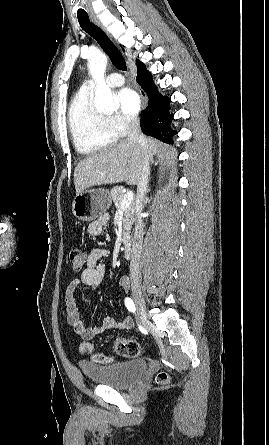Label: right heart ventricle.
Instances as JSON below:
<instances>
[{"instance_id": "obj_1", "label": "right heart ventricle", "mask_w": 269, "mask_h": 445, "mask_svg": "<svg viewBox=\"0 0 269 445\" xmlns=\"http://www.w3.org/2000/svg\"><path fill=\"white\" fill-rule=\"evenodd\" d=\"M68 124L75 149L82 155L101 151L117 139L108 117L93 107L92 90L84 87L78 90L70 104Z\"/></svg>"}]
</instances>
